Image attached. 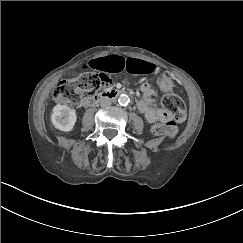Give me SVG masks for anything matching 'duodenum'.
<instances>
[{
    "instance_id": "obj_1",
    "label": "duodenum",
    "mask_w": 243,
    "mask_h": 243,
    "mask_svg": "<svg viewBox=\"0 0 243 243\" xmlns=\"http://www.w3.org/2000/svg\"><path fill=\"white\" fill-rule=\"evenodd\" d=\"M120 89H108L96 95L88 96L83 100L85 107H91L104 100H113L122 94Z\"/></svg>"
}]
</instances>
